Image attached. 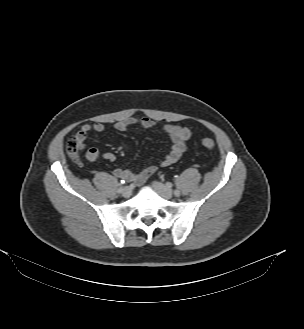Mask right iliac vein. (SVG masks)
Segmentation results:
<instances>
[{
  "instance_id": "right-iliac-vein-1",
  "label": "right iliac vein",
  "mask_w": 304,
  "mask_h": 329,
  "mask_svg": "<svg viewBox=\"0 0 304 329\" xmlns=\"http://www.w3.org/2000/svg\"><path fill=\"white\" fill-rule=\"evenodd\" d=\"M131 193H132L131 188L126 186V187L123 188L121 194H122L123 197L128 198V197H130Z\"/></svg>"
}]
</instances>
